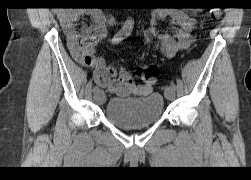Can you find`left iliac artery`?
Listing matches in <instances>:
<instances>
[{
    "instance_id": "obj_1",
    "label": "left iliac artery",
    "mask_w": 251,
    "mask_h": 180,
    "mask_svg": "<svg viewBox=\"0 0 251 180\" xmlns=\"http://www.w3.org/2000/svg\"><path fill=\"white\" fill-rule=\"evenodd\" d=\"M170 86H171L172 88H174V89H175V87H176L174 82H171V83H170Z\"/></svg>"
}]
</instances>
